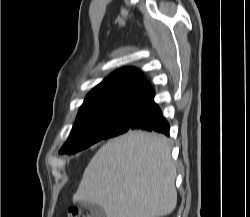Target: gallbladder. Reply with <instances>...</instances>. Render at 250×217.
Masks as SVG:
<instances>
[{
    "label": "gallbladder",
    "instance_id": "bac80fb5",
    "mask_svg": "<svg viewBox=\"0 0 250 217\" xmlns=\"http://www.w3.org/2000/svg\"><path fill=\"white\" fill-rule=\"evenodd\" d=\"M80 205L90 211L92 217H106L105 210L97 204L81 201Z\"/></svg>",
    "mask_w": 250,
    "mask_h": 217
}]
</instances>
